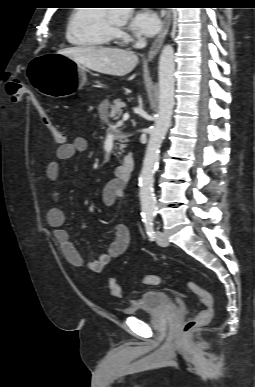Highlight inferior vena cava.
Segmentation results:
<instances>
[{
    "label": "inferior vena cava",
    "mask_w": 255,
    "mask_h": 387,
    "mask_svg": "<svg viewBox=\"0 0 255 387\" xmlns=\"http://www.w3.org/2000/svg\"><path fill=\"white\" fill-rule=\"evenodd\" d=\"M146 46V41L144 39H139L138 42L135 44L136 48H143Z\"/></svg>",
    "instance_id": "obj_1"
}]
</instances>
